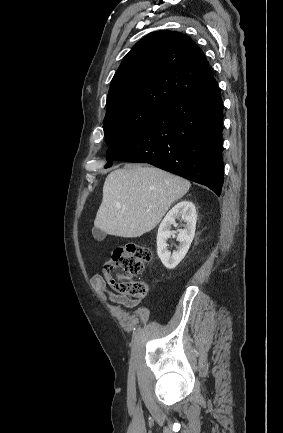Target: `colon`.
<instances>
[{"instance_id":"1","label":"colon","mask_w":283,"mask_h":433,"mask_svg":"<svg viewBox=\"0 0 283 433\" xmlns=\"http://www.w3.org/2000/svg\"><path fill=\"white\" fill-rule=\"evenodd\" d=\"M151 257L150 249L138 243L118 247L104 263L103 277L115 293L141 300L147 295V284L133 278L143 272Z\"/></svg>"}]
</instances>
